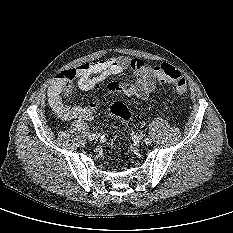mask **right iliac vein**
Listing matches in <instances>:
<instances>
[{
	"instance_id": "obj_1",
	"label": "right iliac vein",
	"mask_w": 233,
	"mask_h": 233,
	"mask_svg": "<svg viewBox=\"0 0 233 233\" xmlns=\"http://www.w3.org/2000/svg\"><path fill=\"white\" fill-rule=\"evenodd\" d=\"M99 139H100V135L99 134L95 135V140L98 141Z\"/></svg>"
}]
</instances>
